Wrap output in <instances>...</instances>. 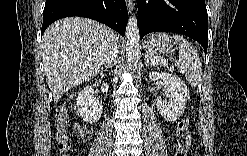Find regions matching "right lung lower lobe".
I'll return each instance as SVG.
<instances>
[{"instance_id": "98d812e1", "label": "right lung lower lobe", "mask_w": 247, "mask_h": 156, "mask_svg": "<svg viewBox=\"0 0 247 156\" xmlns=\"http://www.w3.org/2000/svg\"><path fill=\"white\" fill-rule=\"evenodd\" d=\"M70 16L97 20L122 36L125 35L128 21L125 0H47L41 34L54 21Z\"/></svg>"}]
</instances>
